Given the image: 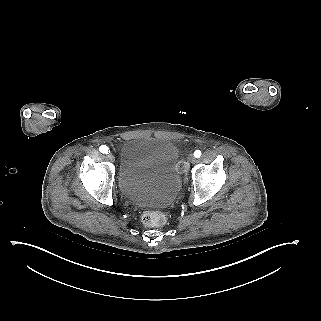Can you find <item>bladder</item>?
Returning <instances> with one entry per match:
<instances>
[{"instance_id":"31cf9c89","label":"bladder","mask_w":321,"mask_h":321,"mask_svg":"<svg viewBox=\"0 0 321 321\" xmlns=\"http://www.w3.org/2000/svg\"><path fill=\"white\" fill-rule=\"evenodd\" d=\"M118 184L121 192L138 205L170 203L181 188L178 148L166 139L126 140L119 156Z\"/></svg>"}]
</instances>
